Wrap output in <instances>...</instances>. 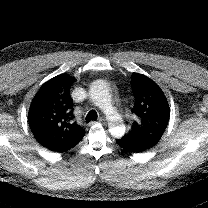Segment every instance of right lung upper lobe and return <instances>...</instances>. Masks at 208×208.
<instances>
[{"instance_id": "1", "label": "right lung upper lobe", "mask_w": 208, "mask_h": 208, "mask_svg": "<svg viewBox=\"0 0 208 208\" xmlns=\"http://www.w3.org/2000/svg\"><path fill=\"white\" fill-rule=\"evenodd\" d=\"M75 78L61 74L44 83L33 98L28 120L36 140L45 148L62 152L78 144L85 130L74 121L70 88Z\"/></svg>"}]
</instances>
